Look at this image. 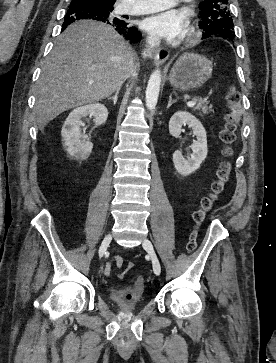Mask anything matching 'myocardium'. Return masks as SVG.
Masks as SVG:
<instances>
[{
  "label": "myocardium",
  "instance_id": "1",
  "mask_svg": "<svg viewBox=\"0 0 276 363\" xmlns=\"http://www.w3.org/2000/svg\"><path fill=\"white\" fill-rule=\"evenodd\" d=\"M199 37V31L196 29L195 26H191L187 36H186V42L187 43H194Z\"/></svg>",
  "mask_w": 276,
  "mask_h": 363
}]
</instances>
